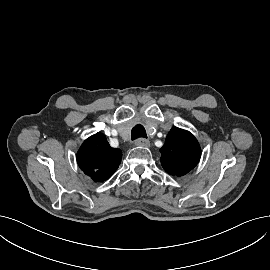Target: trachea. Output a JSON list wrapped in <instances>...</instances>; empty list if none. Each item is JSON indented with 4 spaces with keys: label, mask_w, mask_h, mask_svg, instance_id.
<instances>
[{
    "label": "trachea",
    "mask_w": 270,
    "mask_h": 270,
    "mask_svg": "<svg viewBox=\"0 0 270 270\" xmlns=\"http://www.w3.org/2000/svg\"><path fill=\"white\" fill-rule=\"evenodd\" d=\"M137 138H147L145 128L141 124H138L135 127H133L131 131V139L135 140Z\"/></svg>",
    "instance_id": "1"
}]
</instances>
